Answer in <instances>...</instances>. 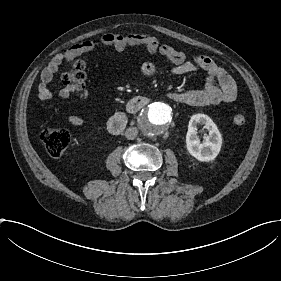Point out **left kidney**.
<instances>
[{
    "mask_svg": "<svg viewBox=\"0 0 281 281\" xmlns=\"http://www.w3.org/2000/svg\"><path fill=\"white\" fill-rule=\"evenodd\" d=\"M198 124H204V128L209 132L203 143H200L197 136ZM221 145V133L212 119L205 114L193 115L189 121L186 135V146L189 153L199 161H210L219 154Z\"/></svg>",
    "mask_w": 281,
    "mask_h": 281,
    "instance_id": "left-kidney-1",
    "label": "left kidney"
}]
</instances>
